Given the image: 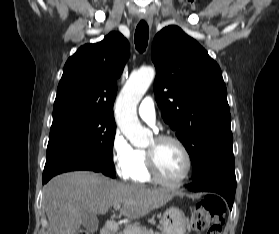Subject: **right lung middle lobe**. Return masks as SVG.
I'll list each match as a JSON object with an SVG mask.
<instances>
[{
    "instance_id": "dd1d6c3e",
    "label": "right lung middle lobe",
    "mask_w": 279,
    "mask_h": 234,
    "mask_svg": "<svg viewBox=\"0 0 279 234\" xmlns=\"http://www.w3.org/2000/svg\"><path fill=\"white\" fill-rule=\"evenodd\" d=\"M115 132L113 117L78 110L53 113L45 168L64 158L79 157L116 177L112 161Z\"/></svg>"
}]
</instances>
